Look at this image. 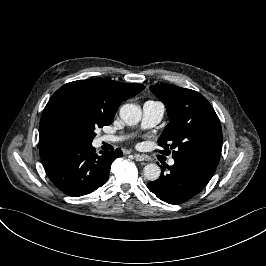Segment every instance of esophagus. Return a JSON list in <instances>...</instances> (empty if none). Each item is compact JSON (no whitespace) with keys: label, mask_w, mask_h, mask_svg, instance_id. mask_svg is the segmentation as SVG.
Instances as JSON below:
<instances>
[{"label":"esophagus","mask_w":266,"mask_h":266,"mask_svg":"<svg viewBox=\"0 0 266 266\" xmlns=\"http://www.w3.org/2000/svg\"><path fill=\"white\" fill-rule=\"evenodd\" d=\"M134 158L136 161H145L146 157L145 155L139 154V153H135L134 154Z\"/></svg>","instance_id":"obj_1"}]
</instances>
